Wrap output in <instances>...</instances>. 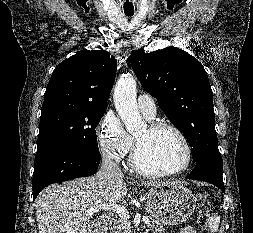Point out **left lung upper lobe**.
<instances>
[{"instance_id":"5c2ea615","label":"left lung upper lobe","mask_w":253,"mask_h":233,"mask_svg":"<svg viewBox=\"0 0 253 233\" xmlns=\"http://www.w3.org/2000/svg\"><path fill=\"white\" fill-rule=\"evenodd\" d=\"M132 68L143 88L158 101L192 147L196 164L222 162L217 147L213 92L202 64L177 47L131 52Z\"/></svg>"}]
</instances>
